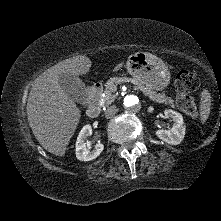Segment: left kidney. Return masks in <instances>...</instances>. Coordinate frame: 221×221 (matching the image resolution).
Masks as SVG:
<instances>
[{
    "mask_svg": "<svg viewBox=\"0 0 221 221\" xmlns=\"http://www.w3.org/2000/svg\"><path fill=\"white\" fill-rule=\"evenodd\" d=\"M164 114L166 118L172 119L174 122L173 127L169 130H157L155 132L156 136L168 144H180L185 136V125L182 115L171 109L165 110Z\"/></svg>",
    "mask_w": 221,
    "mask_h": 221,
    "instance_id": "left-kidney-1",
    "label": "left kidney"
}]
</instances>
